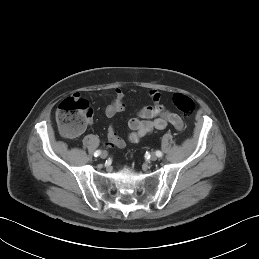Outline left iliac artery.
I'll list each match as a JSON object with an SVG mask.
<instances>
[{
    "label": "left iliac artery",
    "mask_w": 259,
    "mask_h": 259,
    "mask_svg": "<svg viewBox=\"0 0 259 259\" xmlns=\"http://www.w3.org/2000/svg\"><path fill=\"white\" fill-rule=\"evenodd\" d=\"M156 155H157L158 157H162L163 154H162L161 151L158 150V151H156Z\"/></svg>",
    "instance_id": "44dca946"
}]
</instances>
